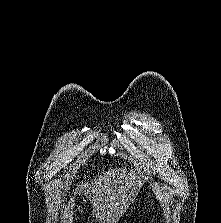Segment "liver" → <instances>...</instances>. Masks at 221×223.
Here are the masks:
<instances>
[{"mask_svg": "<svg viewBox=\"0 0 221 223\" xmlns=\"http://www.w3.org/2000/svg\"><path fill=\"white\" fill-rule=\"evenodd\" d=\"M141 182L132 171L126 169L109 170L98 179L82 186L84 195L93 205V213L97 212L96 219L102 223H115L123 212L134 201ZM74 200L70 199L62 212V223H73Z\"/></svg>", "mask_w": 221, "mask_h": 223, "instance_id": "6515ba94", "label": "liver"}]
</instances>
